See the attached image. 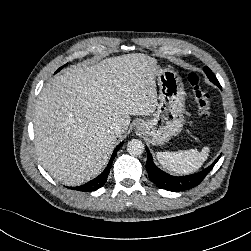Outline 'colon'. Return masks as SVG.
Instances as JSON below:
<instances>
[{
    "label": "colon",
    "mask_w": 251,
    "mask_h": 251,
    "mask_svg": "<svg viewBox=\"0 0 251 251\" xmlns=\"http://www.w3.org/2000/svg\"><path fill=\"white\" fill-rule=\"evenodd\" d=\"M188 80L193 88V94L200 116L204 119H209L211 116L210 96L203 87L201 77L196 73H190Z\"/></svg>",
    "instance_id": "colon-1"
}]
</instances>
